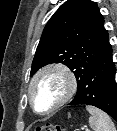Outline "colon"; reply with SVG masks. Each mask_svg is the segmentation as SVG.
Wrapping results in <instances>:
<instances>
[{"label": "colon", "mask_w": 117, "mask_h": 131, "mask_svg": "<svg viewBox=\"0 0 117 131\" xmlns=\"http://www.w3.org/2000/svg\"><path fill=\"white\" fill-rule=\"evenodd\" d=\"M34 131H66L65 128H63L60 125L56 124H46L42 126H37Z\"/></svg>", "instance_id": "5ec220e1"}]
</instances>
